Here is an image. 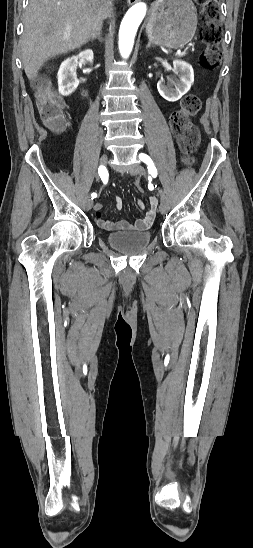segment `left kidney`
I'll return each instance as SVG.
<instances>
[{"instance_id": "left-kidney-1", "label": "left kidney", "mask_w": 253, "mask_h": 548, "mask_svg": "<svg viewBox=\"0 0 253 548\" xmlns=\"http://www.w3.org/2000/svg\"><path fill=\"white\" fill-rule=\"evenodd\" d=\"M172 71L178 78L168 79L166 85L163 80L158 81L157 89L164 99L175 102L190 90L194 82V71L190 64L178 59L173 61Z\"/></svg>"}]
</instances>
